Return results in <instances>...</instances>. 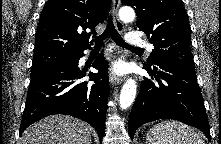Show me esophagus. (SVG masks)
Listing matches in <instances>:
<instances>
[{"label":"esophagus","instance_id":"1","mask_svg":"<svg viewBox=\"0 0 221 144\" xmlns=\"http://www.w3.org/2000/svg\"><path fill=\"white\" fill-rule=\"evenodd\" d=\"M119 6H120V0H112V14L114 18L115 27L120 33H122L124 31V25L118 17ZM123 81L124 77L117 76L113 72L110 74V82L113 85L121 84Z\"/></svg>","mask_w":221,"mask_h":144}]
</instances>
